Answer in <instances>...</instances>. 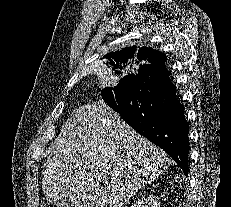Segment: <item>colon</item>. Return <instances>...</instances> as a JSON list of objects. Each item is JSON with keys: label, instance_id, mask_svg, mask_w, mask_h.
<instances>
[{"label": "colon", "instance_id": "obj_1", "mask_svg": "<svg viewBox=\"0 0 231 207\" xmlns=\"http://www.w3.org/2000/svg\"><path fill=\"white\" fill-rule=\"evenodd\" d=\"M42 207H64V206L62 204H60V203L46 201V202L43 203Z\"/></svg>", "mask_w": 231, "mask_h": 207}]
</instances>
